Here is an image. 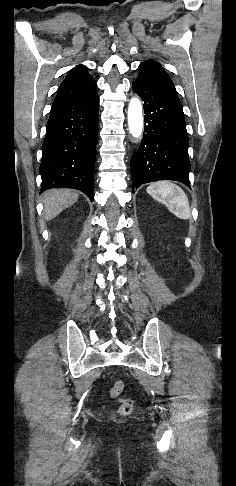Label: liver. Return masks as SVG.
Instances as JSON below:
<instances>
[{
    "mask_svg": "<svg viewBox=\"0 0 236 486\" xmlns=\"http://www.w3.org/2000/svg\"><path fill=\"white\" fill-rule=\"evenodd\" d=\"M78 199L75 191L68 189H51L43 197L44 214L47 221L54 219L64 209L73 205Z\"/></svg>",
    "mask_w": 236,
    "mask_h": 486,
    "instance_id": "1",
    "label": "liver"
}]
</instances>
